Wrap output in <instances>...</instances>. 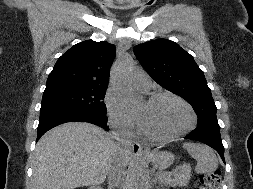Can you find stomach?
Here are the masks:
<instances>
[{"label":"stomach","instance_id":"0dacf381","mask_svg":"<svg viewBox=\"0 0 253 189\" xmlns=\"http://www.w3.org/2000/svg\"><path fill=\"white\" fill-rule=\"evenodd\" d=\"M174 159V154L168 151L155 152L149 157V161L152 163L153 167L160 171L171 166Z\"/></svg>","mask_w":253,"mask_h":189}]
</instances>
